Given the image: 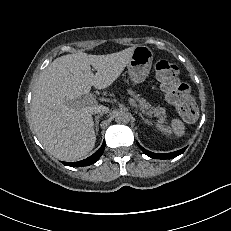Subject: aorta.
I'll list each match as a JSON object with an SVG mask.
<instances>
[{"label": "aorta", "mask_w": 231, "mask_h": 231, "mask_svg": "<svg viewBox=\"0 0 231 231\" xmlns=\"http://www.w3.org/2000/svg\"><path fill=\"white\" fill-rule=\"evenodd\" d=\"M115 121L119 124H127L130 121V114L126 111H118L115 115Z\"/></svg>", "instance_id": "1"}]
</instances>
